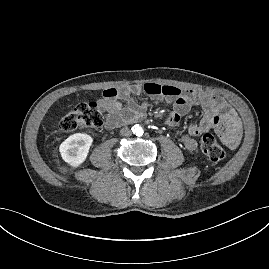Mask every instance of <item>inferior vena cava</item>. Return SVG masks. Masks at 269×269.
Returning a JSON list of instances; mask_svg holds the SVG:
<instances>
[{
	"mask_svg": "<svg viewBox=\"0 0 269 269\" xmlns=\"http://www.w3.org/2000/svg\"><path fill=\"white\" fill-rule=\"evenodd\" d=\"M121 135L123 136H131L132 132L128 127H124L120 131Z\"/></svg>",
	"mask_w": 269,
	"mask_h": 269,
	"instance_id": "1",
	"label": "inferior vena cava"
}]
</instances>
